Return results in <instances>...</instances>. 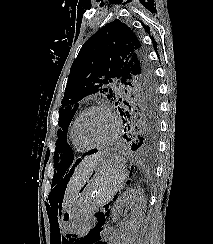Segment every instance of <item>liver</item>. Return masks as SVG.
<instances>
[{"label":"liver","instance_id":"1","mask_svg":"<svg viewBox=\"0 0 213 244\" xmlns=\"http://www.w3.org/2000/svg\"><path fill=\"white\" fill-rule=\"evenodd\" d=\"M104 155L102 152L85 157L80 164L75 168L70 181L67 185L66 193L63 200L62 210L65 211L76 195L78 190L87 182L97 167L100 158Z\"/></svg>","mask_w":213,"mask_h":244}]
</instances>
